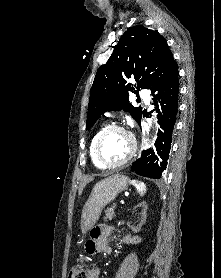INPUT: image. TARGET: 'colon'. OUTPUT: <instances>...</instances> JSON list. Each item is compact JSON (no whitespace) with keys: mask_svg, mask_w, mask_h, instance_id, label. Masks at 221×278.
<instances>
[{"mask_svg":"<svg viewBox=\"0 0 221 278\" xmlns=\"http://www.w3.org/2000/svg\"><path fill=\"white\" fill-rule=\"evenodd\" d=\"M68 278H88V270L81 265L72 266L69 270Z\"/></svg>","mask_w":221,"mask_h":278,"instance_id":"5ec220e1","label":"colon"}]
</instances>
